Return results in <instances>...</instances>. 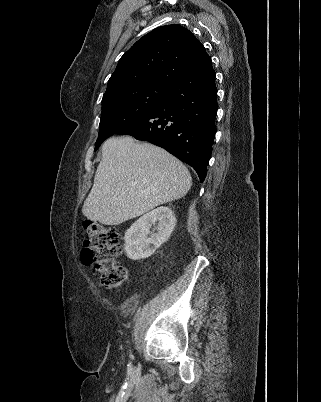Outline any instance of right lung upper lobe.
<instances>
[{"label":"right lung upper lobe","instance_id":"1","mask_svg":"<svg viewBox=\"0 0 321 402\" xmlns=\"http://www.w3.org/2000/svg\"><path fill=\"white\" fill-rule=\"evenodd\" d=\"M212 64L200 41L184 27H158L140 38L119 60L103 99L148 84L169 86Z\"/></svg>","mask_w":321,"mask_h":402}]
</instances>
